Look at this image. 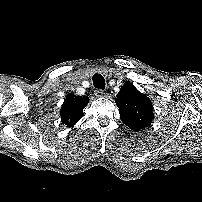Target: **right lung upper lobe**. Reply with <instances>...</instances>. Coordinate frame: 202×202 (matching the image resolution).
Listing matches in <instances>:
<instances>
[{
    "label": "right lung upper lobe",
    "instance_id": "obj_1",
    "mask_svg": "<svg viewBox=\"0 0 202 202\" xmlns=\"http://www.w3.org/2000/svg\"><path fill=\"white\" fill-rule=\"evenodd\" d=\"M89 98L68 94L60 110L61 121L67 127H73L82 117L83 109L87 105Z\"/></svg>",
    "mask_w": 202,
    "mask_h": 202
}]
</instances>
